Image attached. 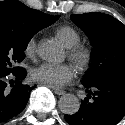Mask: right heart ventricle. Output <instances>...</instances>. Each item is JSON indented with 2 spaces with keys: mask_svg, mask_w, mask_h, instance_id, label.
Instances as JSON below:
<instances>
[{
  "mask_svg": "<svg viewBox=\"0 0 125 125\" xmlns=\"http://www.w3.org/2000/svg\"><path fill=\"white\" fill-rule=\"evenodd\" d=\"M56 34L67 48L73 47L80 42V35L71 27L62 26L57 29Z\"/></svg>",
  "mask_w": 125,
  "mask_h": 125,
  "instance_id": "right-heart-ventricle-1",
  "label": "right heart ventricle"
}]
</instances>
